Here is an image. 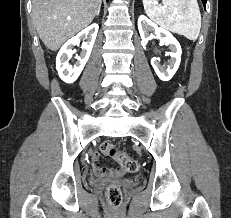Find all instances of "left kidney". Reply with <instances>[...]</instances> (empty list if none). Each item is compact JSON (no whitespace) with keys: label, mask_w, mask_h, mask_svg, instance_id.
<instances>
[{"label":"left kidney","mask_w":231,"mask_h":218,"mask_svg":"<svg viewBox=\"0 0 231 218\" xmlns=\"http://www.w3.org/2000/svg\"><path fill=\"white\" fill-rule=\"evenodd\" d=\"M138 30L143 42L147 43L150 41L153 38V35H150L149 33L154 32L161 42L170 47L171 52H169V55L171 59L169 60L167 69L161 67L156 58L151 59V65L157 76L163 81L170 80L178 70L181 62L182 50L179 42L168 30L158 27L157 24L152 22L145 15H141L138 18Z\"/></svg>","instance_id":"5707ae66"}]
</instances>
